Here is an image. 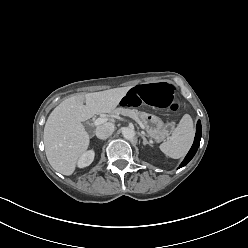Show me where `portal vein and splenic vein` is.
Segmentation results:
<instances>
[{
  "mask_svg": "<svg viewBox=\"0 0 248 248\" xmlns=\"http://www.w3.org/2000/svg\"><path fill=\"white\" fill-rule=\"evenodd\" d=\"M106 121H107L106 118H97V119L94 121V125H95V126H98V125L103 124V123L106 122Z\"/></svg>",
  "mask_w": 248,
  "mask_h": 248,
  "instance_id": "1",
  "label": "portal vein and splenic vein"
}]
</instances>
